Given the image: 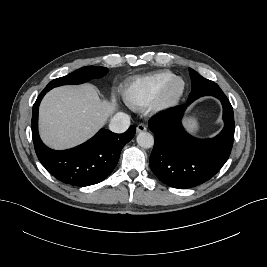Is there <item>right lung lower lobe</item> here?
I'll return each instance as SVG.
<instances>
[{"label":"right lung lower lobe","instance_id":"1","mask_svg":"<svg viewBox=\"0 0 267 267\" xmlns=\"http://www.w3.org/2000/svg\"><path fill=\"white\" fill-rule=\"evenodd\" d=\"M45 88L33 105L32 135L37 157L41 164L59 181L73 186H89L103 181L118 163L121 149L135 135L130 126L123 134L101 129L87 142L72 149L56 151L48 148L38 134V109Z\"/></svg>","mask_w":267,"mask_h":267}]
</instances>
